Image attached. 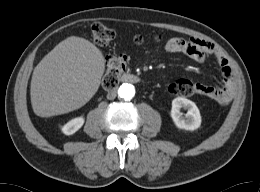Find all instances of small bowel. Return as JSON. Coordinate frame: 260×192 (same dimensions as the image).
I'll return each instance as SVG.
<instances>
[{"mask_svg":"<svg viewBox=\"0 0 260 192\" xmlns=\"http://www.w3.org/2000/svg\"><path fill=\"white\" fill-rule=\"evenodd\" d=\"M165 50L169 53L184 54L196 62H203L208 55L212 56L220 67L223 86L212 87L195 83V93L211 98L222 105L231 102L236 90L234 75L228 60L213 43L198 38L174 37L167 41Z\"/></svg>","mask_w":260,"mask_h":192,"instance_id":"small-bowel-1","label":"small bowel"}]
</instances>
